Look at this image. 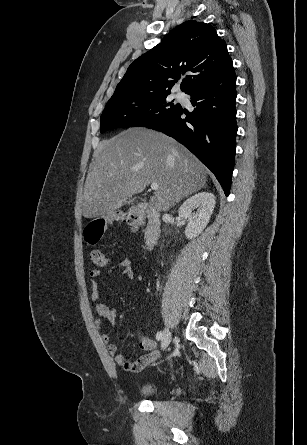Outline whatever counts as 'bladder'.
Here are the masks:
<instances>
[{"label":"bladder","mask_w":307,"mask_h":445,"mask_svg":"<svg viewBox=\"0 0 307 445\" xmlns=\"http://www.w3.org/2000/svg\"><path fill=\"white\" fill-rule=\"evenodd\" d=\"M162 387L154 382H147L139 386L138 392L145 397L157 396L162 392Z\"/></svg>","instance_id":"obj_1"}]
</instances>
